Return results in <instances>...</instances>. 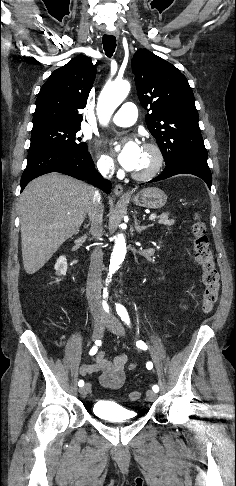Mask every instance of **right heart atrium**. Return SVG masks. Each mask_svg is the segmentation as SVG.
<instances>
[{"label": "right heart atrium", "mask_w": 236, "mask_h": 486, "mask_svg": "<svg viewBox=\"0 0 236 486\" xmlns=\"http://www.w3.org/2000/svg\"><path fill=\"white\" fill-rule=\"evenodd\" d=\"M95 159L96 167L102 174L109 175L115 170L114 162L108 155L97 150Z\"/></svg>", "instance_id": "obj_1"}]
</instances>
